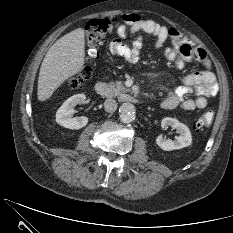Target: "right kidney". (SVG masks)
<instances>
[{
    "label": "right kidney",
    "instance_id": "obj_1",
    "mask_svg": "<svg viewBox=\"0 0 233 233\" xmlns=\"http://www.w3.org/2000/svg\"><path fill=\"white\" fill-rule=\"evenodd\" d=\"M86 99L84 94H76L68 98L56 112V122L68 129H81L88 123L85 116L73 117L74 107Z\"/></svg>",
    "mask_w": 233,
    "mask_h": 233
}]
</instances>
